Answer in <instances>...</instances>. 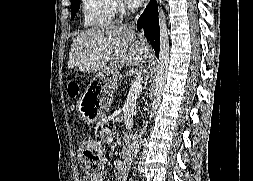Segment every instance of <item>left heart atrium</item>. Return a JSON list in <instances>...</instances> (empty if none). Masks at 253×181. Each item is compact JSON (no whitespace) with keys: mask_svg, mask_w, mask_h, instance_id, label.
<instances>
[{"mask_svg":"<svg viewBox=\"0 0 253 181\" xmlns=\"http://www.w3.org/2000/svg\"><path fill=\"white\" fill-rule=\"evenodd\" d=\"M129 5L133 7H139L145 0H127Z\"/></svg>","mask_w":253,"mask_h":181,"instance_id":"39dd6f15","label":"left heart atrium"}]
</instances>
